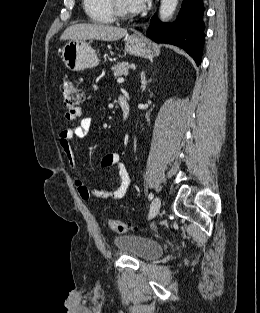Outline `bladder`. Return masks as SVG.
<instances>
[{
	"label": "bladder",
	"mask_w": 260,
	"mask_h": 313,
	"mask_svg": "<svg viewBox=\"0 0 260 313\" xmlns=\"http://www.w3.org/2000/svg\"><path fill=\"white\" fill-rule=\"evenodd\" d=\"M114 243L128 256L152 260L163 253V246L156 240L139 235L126 234L114 238Z\"/></svg>",
	"instance_id": "31cf9c89"
}]
</instances>
